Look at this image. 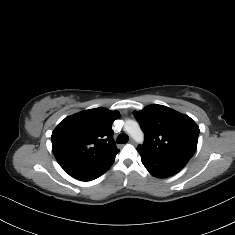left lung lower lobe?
<instances>
[{
	"mask_svg": "<svg viewBox=\"0 0 235 235\" xmlns=\"http://www.w3.org/2000/svg\"><path fill=\"white\" fill-rule=\"evenodd\" d=\"M141 161L151 175L156 178H167L178 173L185 164L180 162L154 157L145 153H140Z\"/></svg>",
	"mask_w": 235,
	"mask_h": 235,
	"instance_id": "obj_1",
	"label": "left lung lower lobe"
}]
</instances>
